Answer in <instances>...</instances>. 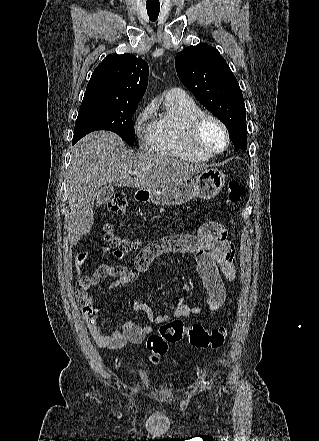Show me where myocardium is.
<instances>
[{
  "mask_svg": "<svg viewBox=\"0 0 319 441\" xmlns=\"http://www.w3.org/2000/svg\"><path fill=\"white\" fill-rule=\"evenodd\" d=\"M212 122L216 124L224 135V145L218 150H211L205 147L200 140V134L203 127ZM187 141L189 146L196 152L208 157H213L222 154L230 144V135L226 125L218 117L202 112L196 115L189 123L187 130Z\"/></svg>",
  "mask_w": 319,
  "mask_h": 441,
  "instance_id": "myocardium-1",
  "label": "myocardium"
}]
</instances>
